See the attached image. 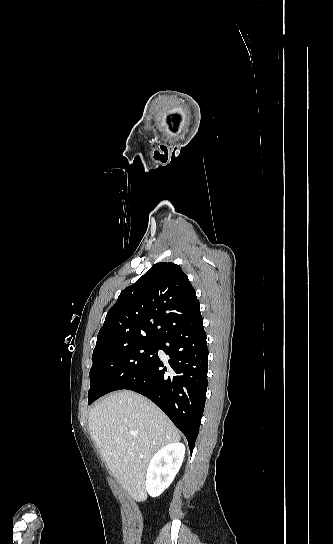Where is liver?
Wrapping results in <instances>:
<instances>
[{
    "label": "liver",
    "mask_w": 333,
    "mask_h": 544,
    "mask_svg": "<svg viewBox=\"0 0 333 544\" xmlns=\"http://www.w3.org/2000/svg\"><path fill=\"white\" fill-rule=\"evenodd\" d=\"M88 423L114 477L133 499L144 501L148 462L161 447L180 440L177 428L150 400L131 391L106 396L91 410Z\"/></svg>",
    "instance_id": "6515ba94"
}]
</instances>
